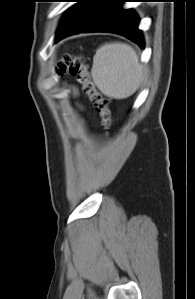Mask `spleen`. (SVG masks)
<instances>
[{"label":"spleen","mask_w":195,"mask_h":299,"mask_svg":"<svg viewBox=\"0 0 195 299\" xmlns=\"http://www.w3.org/2000/svg\"><path fill=\"white\" fill-rule=\"evenodd\" d=\"M91 74L94 83L104 95L124 99L137 91L144 71L133 47L114 42L105 43L97 49Z\"/></svg>","instance_id":"3e777b00"}]
</instances>
